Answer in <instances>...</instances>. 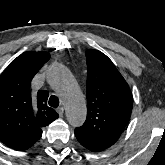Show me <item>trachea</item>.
<instances>
[{
    "label": "trachea",
    "instance_id": "1",
    "mask_svg": "<svg viewBox=\"0 0 165 165\" xmlns=\"http://www.w3.org/2000/svg\"><path fill=\"white\" fill-rule=\"evenodd\" d=\"M48 103H49V105L51 107L57 108L59 106V99L55 95H52L49 98V102Z\"/></svg>",
    "mask_w": 165,
    "mask_h": 165
}]
</instances>
